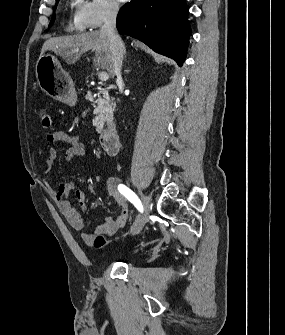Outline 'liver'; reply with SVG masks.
Returning <instances> with one entry per match:
<instances>
[{
	"label": "liver",
	"mask_w": 285,
	"mask_h": 335,
	"mask_svg": "<svg viewBox=\"0 0 285 335\" xmlns=\"http://www.w3.org/2000/svg\"><path fill=\"white\" fill-rule=\"evenodd\" d=\"M89 50L95 52L94 66L106 70L110 78H113L114 70L110 44L106 34H101L100 30L75 34V36L49 38L44 42L41 54L54 52L57 56H61L67 64H74L81 58L82 54H86Z\"/></svg>",
	"instance_id": "1"
}]
</instances>
